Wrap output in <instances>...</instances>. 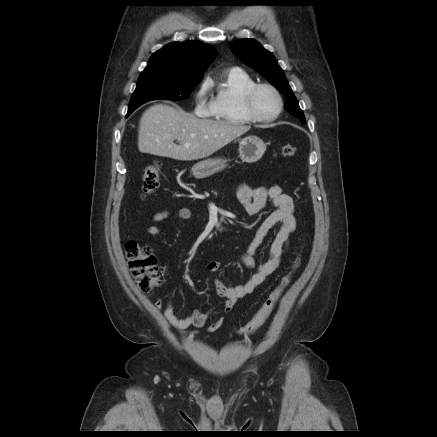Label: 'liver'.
Here are the masks:
<instances>
[{"label":"liver","mask_w":437,"mask_h":437,"mask_svg":"<svg viewBox=\"0 0 437 437\" xmlns=\"http://www.w3.org/2000/svg\"><path fill=\"white\" fill-rule=\"evenodd\" d=\"M249 130L250 126L200 119L182 109L155 104L140 119L138 149L141 153L176 160H199L212 155ZM174 140H178L179 145Z\"/></svg>","instance_id":"obj_1"}]
</instances>
